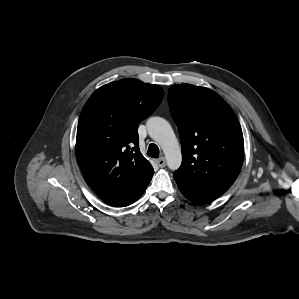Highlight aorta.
Segmentation results:
<instances>
[{
  "mask_svg": "<svg viewBox=\"0 0 299 299\" xmlns=\"http://www.w3.org/2000/svg\"><path fill=\"white\" fill-rule=\"evenodd\" d=\"M146 125L149 136L162 148L167 166L177 170L182 161L181 147L169 122L161 117H151Z\"/></svg>",
  "mask_w": 299,
  "mask_h": 299,
  "instance_id": "1",
  "label": "aorta"
}]
</instances>
